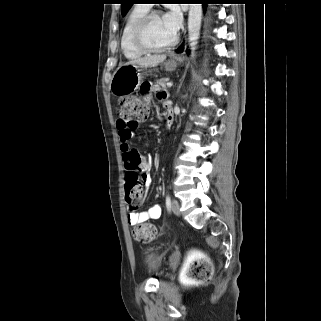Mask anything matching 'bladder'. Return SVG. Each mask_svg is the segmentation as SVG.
Here are the masks:
<instances>
[{
  "label": "bladder",
  "mask_w": 321,
  "mask_h": 321,
  "mask_svg": "<svg viewBox=\"0 0 321 321\" xmlns=\"http://www.w3.org/2000/svg\"><path fill=\"white\" fill-rule=\"evenodd\" d=\"M143 261L148 272L152 274H157L159 272L161 260L155 253L149 250L145 251Z\"/></svg>",
  "instance_id": "1"
}]
</instances>
